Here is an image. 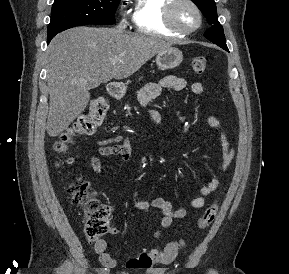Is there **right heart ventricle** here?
Here are the masks:
<instances>
[{"instance_id":"right-heart-ventricle-1","label":"right heart ventricle","mask_w":289,"mask_h":274,"mask_svg":"<svg viewBox=\"0 0 289 274\" xmlns=\"http://www.w3.org/2000/svg\"><path fill=\"white\" fill-rule=\"evenodd\" d=\"M169 2L170 0H135L131 21L136 31L150 35L181 36L164 23V10Z\"/></svg>"}]
</instances>
